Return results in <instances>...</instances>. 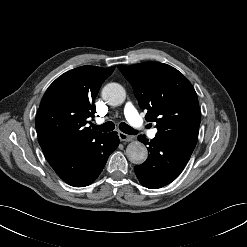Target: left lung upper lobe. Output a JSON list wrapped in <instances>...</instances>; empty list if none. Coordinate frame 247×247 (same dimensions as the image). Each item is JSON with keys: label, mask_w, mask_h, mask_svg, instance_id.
Instances as JSON below:
<instances>
[{"label": "left lung upper lobe", "mask_w": 247, "mask_h": 247, "mask_svg": "<svg viewBox=\"0 0 247 247\" xmlns=\"http://www.w3.org/2000/svg\"><path fill=\"white\" fill-rule=\"evenodd\" d=\"M131 83L146 120L155 121L157 137L183 138L196 144L201 121L197 94L182 73L170 65L145 62L119 65Z\"/></svg>", "instance_id": "obj_1"}]
</instances>
